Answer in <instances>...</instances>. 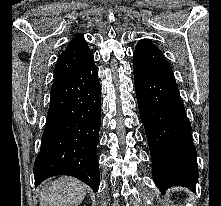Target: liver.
Here are the masks:
<instances>
[{"instance_id": "6515ba94", "label": "liver", "mask_w": 221, "mask_h": 206, "mask_svg": "<svg viewBox=\"0 0 221 206\" xmlns=\"http://www.w3.org/2000/svg\"><path fill=\"white\" fill-rule=\"evenodd\" d=\"M87 186L73 177H60L46 183L40 191V206H78Z\"/></svg>"}]
</instances>
